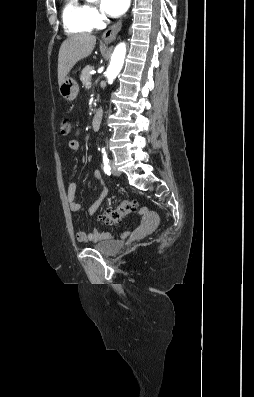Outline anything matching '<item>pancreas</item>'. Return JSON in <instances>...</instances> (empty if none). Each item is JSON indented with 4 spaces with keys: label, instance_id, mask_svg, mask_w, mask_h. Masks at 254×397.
<instances>
[{
    "label": "pancreas",
    "instance_id": "1",
    "mask_svg": "<svg viewBox=\"0 0 254 397\" xmlns=\"http://www.w3.org/2000/svg\"><path fill=\"white\" fill-rule=\"evenodd\" d=\"M92 69H94V66H92V65H87V66H85V67L83 68V70H82V72H81L80 80H81V82L83 83V85H85V86H86V83H87L88 81H90V78H91L90 71H91Z\"/></svg>",
    "mask_w": 254,
    "mask_h": 397
}]
</instances>
